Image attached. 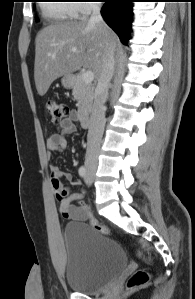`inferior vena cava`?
I'll return each instance as SVG.
<instances>
[{
  "mask_svg": "<svg viewBox=\"0 0 195 299\" xmlns=\"http://www.w3.org/2000/svg\"><path fill=\"white\" fill-rule=\"evenodd\" d=\"M90 10L92 13L88 21L89 25H106L102 19L99 4H91ZM114 68L115 45L110 44L107 48L104 66L95 89L94 104L87 135L86 167H96L98 164L100 145L105 127V102L108 98V90L114 74Z\"/></svg>",
  "mask_w": 195,
  "mask_h": 299,
  "instance_id": "602c4592",
  "label": "inferior vena cava"
}]
</instances>
